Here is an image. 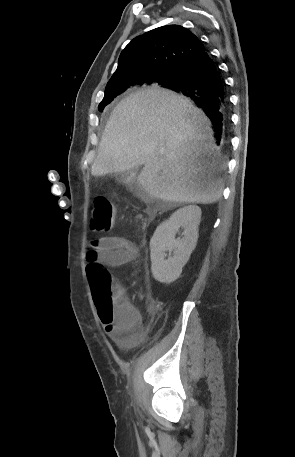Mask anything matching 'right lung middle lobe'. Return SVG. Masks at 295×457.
<instances>
[{
    "mask_svg": "<svg viewBox=\"0 0 295 457\" xmlns=\"http://www.w3.org/2000/svg\"><path fill=\"white\" fill-rule=\"evenodd\" d=\"M175 78H176V76L169 78L166 83L172 82ZM130 86H131L130 83H124V84H120V85L111 86L110 88H106L105 89V96H104L102 102L99 104V107H98L99 110L103 111L104 107L107 104H109L116 96H118L119 94L124 92Z\"/></svg>",
    "mask_w": 295,
    "mask_h": 457,
    "instance_id": "1",
    "label": "right lung middle lobe"
}]
</instances>
